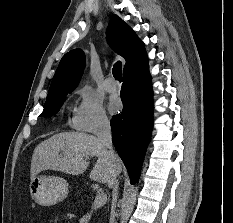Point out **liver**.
<instances>
[{
  "instance_id": "6515ba94",
  "label": "liver",
  "mask_w": 233,
  "mask_h": 223,
  "mask_svg": "<svg viewBox=\"0 0 233 223\" xmlns=\"http://www.w3.org/2000/svg\"><path fill=\"white\" fill-rule=\"evenodd\" d=\"M92 157H97V161L89 173L90 179L107 183L109 187L122 171L119 157L116 167L108 165L109 157L104 147L99 143L98 137L90 133H55L35 147L31 159V179L46 169L79 175L88 169Z\"/></svg>"
}]
</instances>
